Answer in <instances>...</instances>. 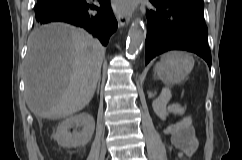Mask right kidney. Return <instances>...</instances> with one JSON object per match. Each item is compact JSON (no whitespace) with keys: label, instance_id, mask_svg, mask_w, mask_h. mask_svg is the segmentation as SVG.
I'll list each match as a JSON object with an SVG mask.
<instances>
[{"label":"right kidney","instance_id":"right-kidney-1","mask_svg":"<svg viewBox=\"0 0 242 160\" xmlns=\"http://www.w3.org/2000/svg\"><path fill=\"white\" fill-rule=\"evenodd\" d=\"M74 125L81 126L82 130L71 133L69 129ZM94 129L95 121L93 116L88 113H80L61 122L53 138L62 147H83L91 140Z\"/></svg>","mask_w":242,"mask_h":160}]
</instances>
